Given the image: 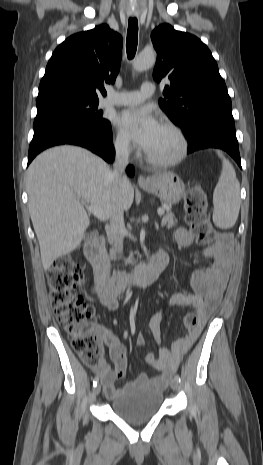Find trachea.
Here are the masks:
<instances>
[{
	"mask_svg": "<svg viewBox=\"0 0 263 465\" xmlns=\"http://www.w3.org/2000/svg\"><path fill=\"white\" fill-rule=\"evenodd\" d=\"M138 44V21L136 18H129L126 50L129 59L135 56Z\"/></svg>",
	"mask_w": 263,
	"mask_h": 465,
	"instance_id": "3493384b",
	"label": "trachea"
}]
</instances>
